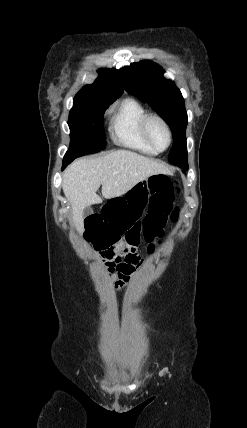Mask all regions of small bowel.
Instances as JSON below:
<instances>
[{
  "instance_id": "1",
  "label": "small bowel",
  "mask_w": 247,
  "mask_h": 428,
  "mask_svg": "<svg viewBox=\"0 0 247 428\" xmlns=\"http://www.w3.org/2000/svg\"><path fill=\"white\" fill-rule=\"evenodd\" d=\"M126 250H130V245L125 241L117 245L116 254L119 258L118 263L114 266L113 270L118 272L119 281L116 282L115 288L117 292H122L129 282L136 264L134 261H131L126 258Z\"/></svg>"
}]
</instances>
